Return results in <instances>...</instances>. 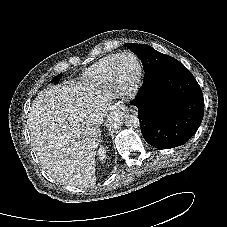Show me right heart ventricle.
Instances as JSON below:
<instances>
[{
  "instance_id": "1",
  "label": "right heart ventricle",
  "mask_w": 227,
  "mask_h": 227,
  "mask_svg": "<svg viewBox=\"0 0 227 227\" xmlns=\"http://www.w3.org/2000/svg\"><path fill=\"white\" fill-rule=\"evenodd\" d=\"M119 54L106 56L99 60L87 73V77L94 83L110 82L112 78V68L118 59Z\"/></svg>"
}]
</instances>
